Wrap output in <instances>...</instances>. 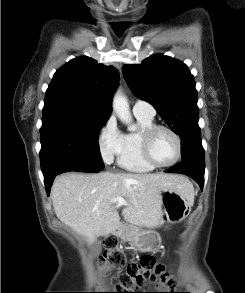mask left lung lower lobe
Wrapping results in <instances>:
<instances>
[{
	"label": "left lung lower lobe",
	"instance_id": "obj_1",
	"mask_svg": "<svg viewBox=\"0 0 245 293\" xmlns=\"http://www.w3.org/2000/svg\"><path fill=\"white\" fill-rule=\"evenodd\" d=\"M165 172L185 174L194 179L201 189L203 188L205 164L183 160Z\"/></svg>",
	"mask_w": 245,
	"mask_h": 293
}]
</instances>
